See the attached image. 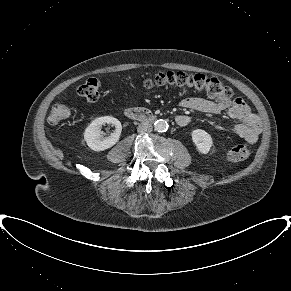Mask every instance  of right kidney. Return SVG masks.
Instances as JSON below:
<instances>
[{
	"label": "right kidney",
	"instance_id": "right-kidney-1",
	"mask_svg": "<svg viewBox=\"0 0 291 291\" xmlns=\"http://www.w3.org/2000/svg\"><path fill=\"white\" fill-rule=\"evenodd\" d=\"M112 124L115 127L114 132L109 137H103L101 127L103 124ZM122 125L120 121L112 116L96 118L85 129L84 139L88 147L94 151H104L114 146L121 135Z\"/></svg>",
	"mask_w": 291,
	"mask_h": 291
}]
</instances>
